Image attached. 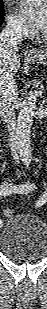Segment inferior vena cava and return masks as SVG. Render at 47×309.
Wrapping results in <instances>:
<instances>
[{
  "mask_svg": "<svg viewBox=\"0 0 47 309\" xmlns=\"http://www.w3.org/2000/svg\"><path fill=\"white\" fill-rule=\"evenodd\" d=\"M23 27L15 21H8L0 33L1 46L17 47L21 42ZM18 100L17 85L14 75L3 72L0 76V109L1 116L9 130L15 129V106Z\"/></svg>",
  "mask_w": 47,
  "mask_h": 309,
  "instance_id": "1",
  "label": "inferior vena cava"
}]
</instances>
